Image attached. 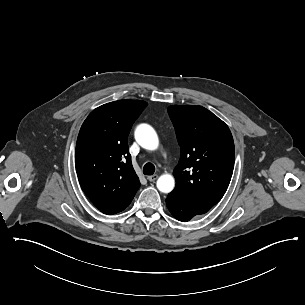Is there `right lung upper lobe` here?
Returning a JSON list of instances; mask_svg holds the SVG:
<instances>
[{"label": "right lung upper lobe", "instance_id": "right-lung-upper-lobe-1", "mask_svg": "<svg viewBox=\"0 0 305 305\" xmlns=\"http://www.w3.org/2000/svg\"><path fill=\"white\" fill-rule=\"evenodd\" d=\"M147 103L119 100L93 110L76 144L75 165L82 190L104 214L124 210L140 187L127 137Z\"/></svg>", "mask_w": 305, "mask_h": 305}]
</instances>
